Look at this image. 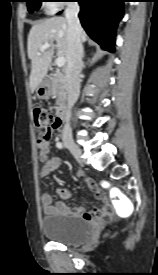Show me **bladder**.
<instances>
[{"label":"bladder","instance_id":"31cf9c89","mask_svg":"<svg viewBox=\"0 0 158 275\" xmlns=\"http://www.w3.org/2000/svg\"><path fill=\"white\" fill-rule=\"evenodd\" d=\"M42 230L52 241L73 244L88 235L90 222L76 215L53 212L44 216Z\"/></svg>","mask_w":158,"mask_h":275}]
</instances>
